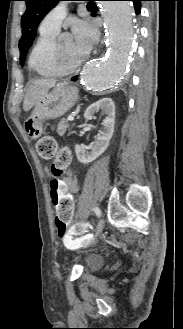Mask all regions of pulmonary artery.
Listing matches in <instances>:
<instances>
[{"label": "pulmonary artery", "instance_id": "e3ab8cb5", "mask_svg": "<svg viewBox=\"0 0 183 329\" xmlns=\"http://www.w3.org/2000/svg\"><path fill=\"white\" fill-rule=\"evenodd\" d=\"M68 14V8L65 3H59L42 20L40 30L43 32L58 33L62 21Z\"/></svg>", "mask_w": 183, "mask_h": 329}]
</instances>
